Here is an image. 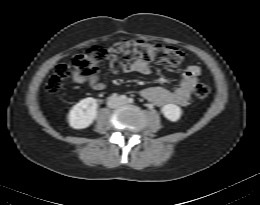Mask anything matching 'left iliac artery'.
Segmentation results:
<instances>
[{
	"instance_id": "obj_1",
	"label": "left iliac artery",
	"mask_w": 260,
	"mask_h": 205,
	"mask_svg": "<svg viewBox=\"0 0 260 205\" xmlns=\"http://www.w3.org/2000/svg\"><path fill=\"white\" fill-rule=\"evenodd\" d=\"M128 102H129V103H133V102H134V99H133V98H129V99H128Z\"/></svg>"
}]
</instances>
